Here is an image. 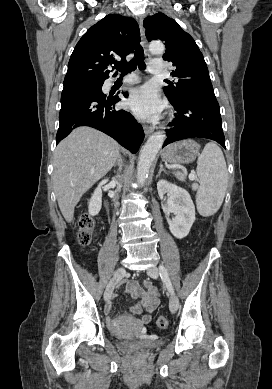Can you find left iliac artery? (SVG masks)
Masks as SVG:
<instances>
[{
	"label": "left iliac artery",
	"instance_id": "left-iliac-artery-1",
	"mask_svg": "<svg viewBox=\"0 0 272 389\" xmlns=\"http://www.w3.org/2000/svg\"><path fill=\"white\" fill-rule=\"evenodd\" d=\"M159 270H160V277L164 281V283L166 284L168 291L171 293H174V290H173V287H172L171 281L169 279L166 268L163 265H160Z\"/></svg>",
	"mask_w": 272,
	"mask_h": 389
}]
</instances>
